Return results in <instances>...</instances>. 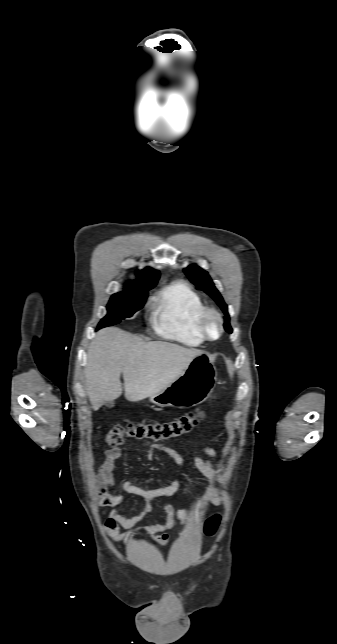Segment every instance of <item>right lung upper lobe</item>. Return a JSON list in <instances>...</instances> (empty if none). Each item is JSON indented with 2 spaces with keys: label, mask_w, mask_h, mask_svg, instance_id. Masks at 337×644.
I'll use <instances>...</instances> for the list:
<instances>
[{
  "label": "right lung upper lobe",
  "mask_w": 337,
  "mask_h": 644,
  "mask_svg": "<svg viewBox=\"0 0 337 644\" xmlns=\"http://www.w3.org/2000/svg\"><path fill=\"white\" fill-rule=\"evenodd\" d=\"M159 271L157 270H151V269H144L138 272V280L134 281L133 283H129L125 285V289L133 288V289H147L150 288L154 285H156L157 280L159 279Z\"/></svg>",
  "instance_id": "cb5924a9"
}]
</instances>
